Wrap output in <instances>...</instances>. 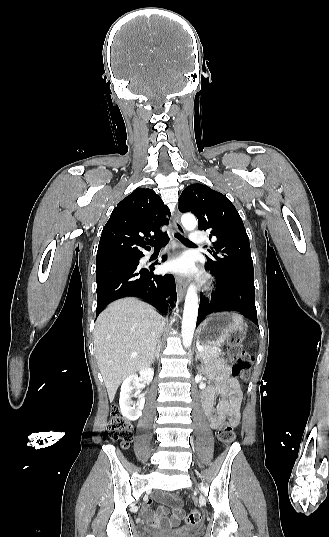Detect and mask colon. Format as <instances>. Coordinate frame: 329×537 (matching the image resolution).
<instances>
[{"mask_svg": "<svg viewBox=\"0 0 329 537\" xmlns=\"http://www.w3.org/2000/svg\"><path fill=\"white\" fill-rule=\"evenodd\" d=\"M229 357L234 360L232 373L235 377L245 378L248 375L253 358L250 354L244 352L239 341L232 343L228 349ZM112 417L109 422L108 431L111 438L118 441L123 447H128L133 440V428L129 420L120 414L119 407L114 405L111 410ZM236 422L228 421L222 424L218 429V436L224 444H231L235 439ZM201 522V514L192 510L186 517V523L189 526L198 525Z\"/></svg>", "mask_w": 329, "mask_h": 537, "instance_id": "1", "label": "colon"}]
</instances>
